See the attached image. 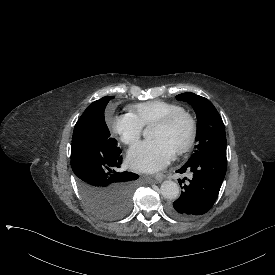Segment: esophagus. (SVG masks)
I'll return each instance as SVG.
<instances>
[{
  "label": "esophagus",
  "instance_id": "34e87169",
  "mask_svg": "<svg viewBox=\"0 0 275 275\" xmlns=\"http://www.w3.org/2000/svg\"><path fill=\"white\" fill-rule=\"evenodd\" d=\"M164 175L162 173H158L155 175L154 179L156 182H161L164 179Z\"/></svg>",
  "mask_w": 275,
  "mask_h": 275
}]
</instances>
